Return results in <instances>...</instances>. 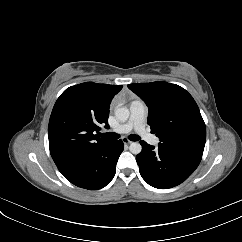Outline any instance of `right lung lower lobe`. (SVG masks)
Segmentation results:
<instances>
[{
    "label": "right lung lower lobe",
    "instance_id": "1",
    "mask_svg": "<svg viewBox=\"0 0 242 242\" xmlns=\"http://www.w3.org/2000/svg\"><path fill=\"white\" fill-rule=\"evenodd\" d=\"M123 149L121 140L108 141L86 151L59 170L74 185L97 190L113 179L115 166Z\"/></svg>",
    "mask_w": 242,
    "mask_h": 242
}]
</instances>
